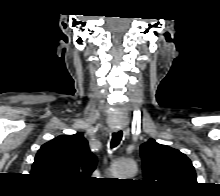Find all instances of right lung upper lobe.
Masks as SVG:
<instances>
[{
  "instance_id": "obj_1",
  "label": "right lung upper lobe",
  "mask_w": 220,
  "mask_h": 196,
  "mask_svg": "<svg viewBox=\"0 0 220 196\" xmlns=\"http://www.w3.org/2000/svg\"><path fill=\"white\" fill-rule=\"evenodd\" d=\"M96 167L83 134L61 135L41 146L31 174L46 182L69 188L81 184Z\"/></svg>"
}]
</instances>
